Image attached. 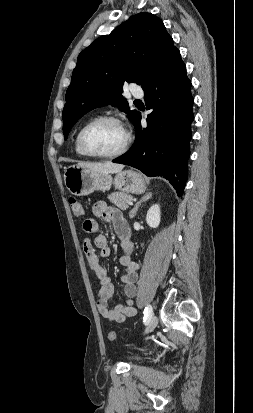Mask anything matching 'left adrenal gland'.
<instances>
[{
    "label": "left adrenal gland",
    "mask_w": 253,
    "mask_h": 413,
    "mask_svg": "<svg viewBox=\"0 0 253 413\" xmlns=\"http://www.w3.org/2000/svg\"><path fill=\"white\" fill-rule=\"evenodd\" d=\"M151 197H152V193H151V192L146 193V194L135 204L134 208L130 211V214H129V215H130V218H134L135 215H136V213H137V211H138V208L141 206L142 202H145V201L149 200Z\"/></svg>",
    "instance_id": "a2214340"
}]
</instances>
